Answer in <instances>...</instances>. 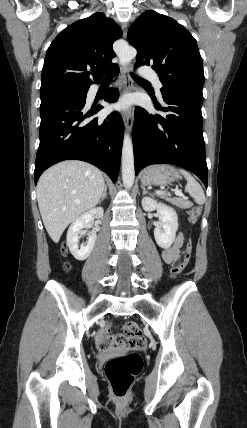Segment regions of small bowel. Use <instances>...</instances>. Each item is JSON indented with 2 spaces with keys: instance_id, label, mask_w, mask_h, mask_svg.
I'll return each instance as SVG.
<instances>
[{
  "instance_id": "c3829d8e",
  "label": "small bowel",
  "mask_w": 247,
  "mask_h": 428,
  "mask_svg": "<svg viewBox=\"0 0 247 428\" xmlns=\"http://www.w3.org/2000/svg\"><path fill=\"white\" fill-rule=\"evenodd\" d=\"M183 241L182 234H177L173 244L164 249L162 257L165 263L172 265L178 261Z\"/></svg>"
}]
</instances>
